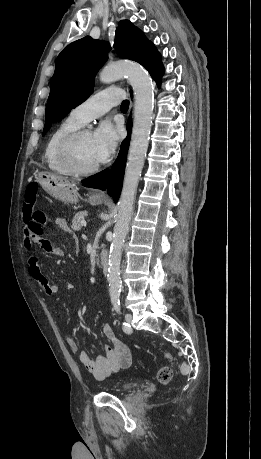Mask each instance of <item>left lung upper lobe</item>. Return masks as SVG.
I'll return each instance as SVG.
<instances>
[{"label":"left lung upper lobe","instance_id":"left-lung-upper-lobe-1","mask_svg":"<svg viewBox=\"0 0 261 459\" xmlns=\"http://www.w3.org/2000/svg\"><path fill=\"white\" fill-rule=\"evenodd\" d=\"M114 47L119 57L137 61L152 76L163 67L153 43L128 20L118 23ZM109 48L108 44L88 36L72 42L59 54L51 79L43 135L52 122L63 119L91 95L95 75L105 63Z\"/></svg>","mask_w":261,"mask_h":459}]
</instances>
